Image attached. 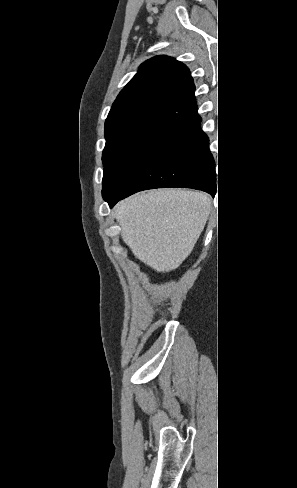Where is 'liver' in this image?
Listing matches in <instances>:
<instances>
[{
  "label": "liver",
  "mask_w": 297,
  "mask_h": 488,
  "mask_svg": "<svg viewBox=\"0 0 297 488\" xmlns=\"http://www.w3.org/2000/svg\"><path fill=\"white\" fill-rule=\"evenodd\" d=\"M210 208L205 193L159 189L119 202L115 218L134 256L157 272H169L192 252Z\"/></svg>",
  "instance_id": "liver-1"
}]
</instances>
